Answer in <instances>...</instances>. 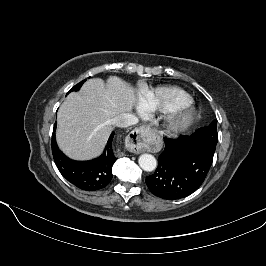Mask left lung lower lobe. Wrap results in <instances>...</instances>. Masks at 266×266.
<instances>
[{
  "mask_svg": "<svg viewBox=\"0 0 266 266\" xmlns=\"http://www.w3.org/2000/svg\"><path fill=\"white\" fill-rule=\"evenodd\" d=\"M165 149L158 158L154 174L146 184L157 197L167 200L184 198L203 183L213 155L194 141V134L177 139L164 138Z\"/></svg>",
  "mask_w": 266,
  "mask_h": 266,
  "instance_id": "left-lung-lower-lobe-1",
  "label": "left lung lower lobe"
}]
</instances>
